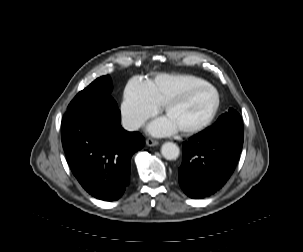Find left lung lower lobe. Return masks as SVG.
<instances>
[{
  "label": "left lung lower lobe",
  "mask_w": 303,
  "mask_h": 252,
  "mask_svg": "<svg viewBox=\"0 0 303 252\" xmlns=\"http://www.w3.org/2000/svg\"><path fill=\"white\" fill-rule=\"evenodd\" d=\"M243 134L200 132L183 142L178 180L191 198L209 196L229 179L242 150Z\"/></svg>",
  "instance_id": "0a47b994"
}]
</instances>
